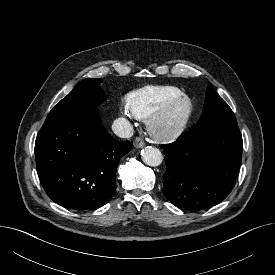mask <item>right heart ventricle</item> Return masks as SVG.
Returning a JSON list of instances; mask_svg holds the SVG:
<instances>
[{
    "label": "right heart ventricle",
    "mask_w": 275,
    "mask_h": 275,
    "mask_svg": "<svg viewBox=\"0 0 275 275\" xmlns=\"http://www.w3.org/2000/svg\"><path fill=\"white\" fill-rule=\"evenodd\" d=\"M181 93V89L175 86H145L128 95L127 107L134 116L145 119Z\"/></svg>",
    "instance_id": "right-heart-ventricle-1"
}]
</instances>
